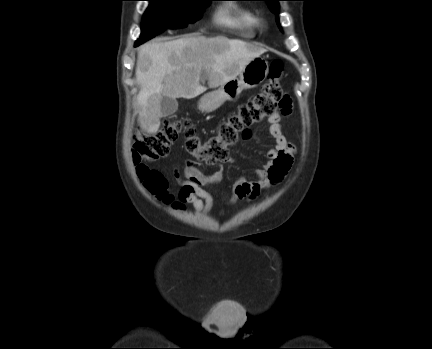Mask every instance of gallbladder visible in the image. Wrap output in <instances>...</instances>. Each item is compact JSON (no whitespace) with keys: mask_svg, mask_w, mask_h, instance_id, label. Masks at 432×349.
<instances>
[{"mask_svg":"<svg viewBox=\"0 0 432 349\" xmlns=\"http://www.w3.org/2000/svg\"><path fill=\"white\" fill-rule=\"evenodd\" d=\"M161 114L164 117L174 114L178 110V102L176 99H171L169 97H162L160 102Z\"/></svg>","mask_w":432,"mask_h":349,"instance_id":"1","label":"gallbladder"}]
</instances>
